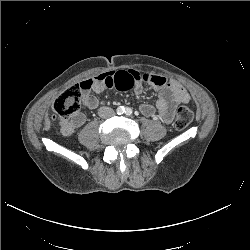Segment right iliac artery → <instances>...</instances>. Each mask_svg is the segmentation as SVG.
Listing matches in <instances>:
<instances>
[{"instance_id":"1","label":"right iliac artery","mask_w":250,"mask_h":250,"mask_svg":"<svg viewBox=\"0 0 250 250\" xmlns=\"http://www.w3.org/2000/svg\"><path fill=\"white\" fill-rule=\"evenodd\" d=\"M116 111H117V114H118V115H121V114L124 113V107L120 106V107L117 108Z\"/></svg>"}]
</instances>
